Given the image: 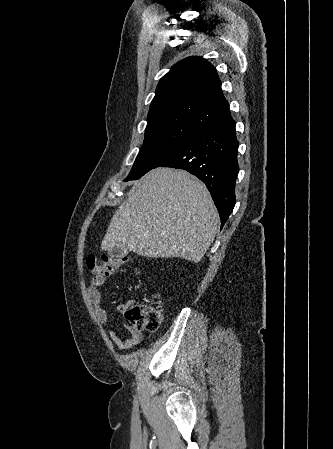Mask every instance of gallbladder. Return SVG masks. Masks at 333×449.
<instances>
[{
  "instance_id": "bac80fb5",
  "label": "gallbladder",
  "mask_w": 333,
  "mask_h": 449,
  "mask_svg": "<svg viewBox=\"0 0 333 449\" xmlns=\"http://www.w3.org/2000/svg\"><path fill=\"white\" fill-rule=\"evenodd\" d=\"M129 252H130V250L127 248V246H123L120 243L116 244L112 248L108 249V255L110 257H119V258H121V257L126 256Z\"/></svg>"
}]
</instances>
